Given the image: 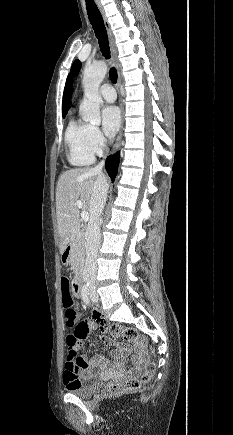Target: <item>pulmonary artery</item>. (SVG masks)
<instances>
[{
  "label": "pulmonary artery",
  "instance_id": "pulmonary-artery-1",
  "mask_svg": "<svg viewBox=\"0 0 233 435\" xmlns=\"http://www.w3.org/2000/svg\"><path fill=\"white\" fill-rule=\"evenodd\" d=\"M99 93L101 97L109 103L114 102L116 99L115 91L113 87L109 84L102 85L101 88L99 89Z\"/></svg>",
  "mask_w": 233,
  "mask_h": 435
}]
</instances>
